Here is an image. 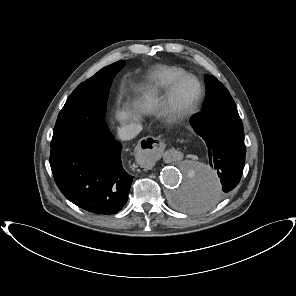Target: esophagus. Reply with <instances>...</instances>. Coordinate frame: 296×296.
I'll return each mask as SVG.
<instances>
[{
    "mask_svg": "<svg viewBox=\"0 0 296 296\" xmlns=\"http://www.w3.org/2000/svg\"><path fill=\"white\" fill-rule=\"evenodd\" d=\"M165 144L157 138H145L136 151L137 164L144 169L158 163L163 156Z\"/></svg>",
    "mask_w": 296,
    "mask_h": 296,
    "instance_id": "1",
    "label": "esophagus"
}]
</instances>
